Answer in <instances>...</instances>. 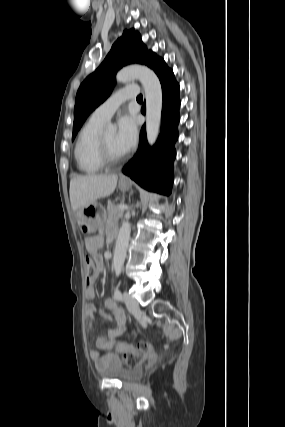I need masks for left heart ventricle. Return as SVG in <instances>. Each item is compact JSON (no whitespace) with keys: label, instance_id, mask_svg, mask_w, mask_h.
I'll return each mask as SVG.
<instances>
[{"label":"left heart ventricle","instance_id":"obj_1","mask_svg":"<svg viewBox=\"0 0 285 427\" xmlns=\"http://www.w3.org/2000/svg\"><path fill=\"white\" fill-rule=\"evenodd\" d=\"M107 146L113 156H122L125 153L118 147L116 142V131H106L104 133Z\"/></svg>","mask_w":285,"mask_h":427}]
</instances>
